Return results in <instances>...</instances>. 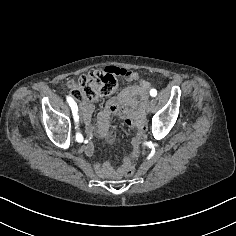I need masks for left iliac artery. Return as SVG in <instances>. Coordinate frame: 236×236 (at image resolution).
I'll return each instance as SVG.
<instances>
[{"instance_id":"44dca946","label":"left iliac artery","mask_w":236,"mask_h":236,"mask_svg":"<svg viewBox=\"0 0 236 236\" xmlns=\"http://www.w3.org/2000/svg\"><path fill=\"white\" fill-rule=\"evenodd\" d=\"M150 95H151L152 97H155V96L157 95V91H156L155 89H151V90H150Z\"/></svg>"}]
</instances>
